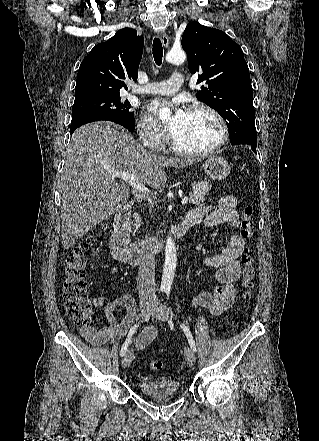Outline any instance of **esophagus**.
Returning <instances> with one entry per match:
<instances>
[{
	"label": "esophagus",
	"mask_w": 319,
	"mask_h": 441,
	"mask_svg": "<svg viewBox=\"0 0 319 441\" xmlns=\"http://www.w3.org/2000/svg\"><path fill=\"white\" fill-rule=\"evenodd\" d=\"M160 39H161L163 46L167 49L169 47V39H168L167 34L165 32H161Z\"/></svg>",
	"instance_id": "1"
}]
</instances>
